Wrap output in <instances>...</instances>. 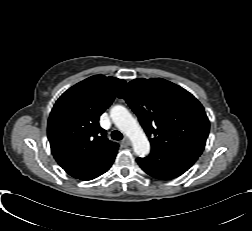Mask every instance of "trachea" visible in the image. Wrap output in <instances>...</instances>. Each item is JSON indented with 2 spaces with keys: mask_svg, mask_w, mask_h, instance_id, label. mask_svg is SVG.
Returning <instances> with one entry per match:
<instances>
[{
  "mask_svg": "<svg viewBox=\"0 0 252 231\" xmlns=\"http://www.w3.org/2000/svg\"><path fill=\"white\" fill-rule=\"evenodd\" d=\"M111 137H112V139H114V140H121V139L123 138V135H122L121 132H119V131H117V130H114V131H112V133H111Z\"/></svg>",
  "mask_w": 252,
  "mask_h": 231,
  "instance_id": "1",
  "label": "trachea"
}]
</instances>
